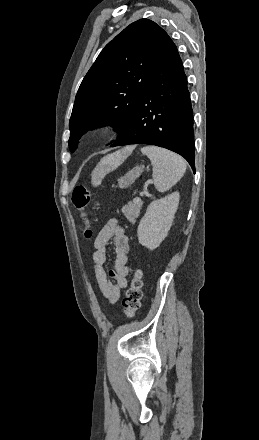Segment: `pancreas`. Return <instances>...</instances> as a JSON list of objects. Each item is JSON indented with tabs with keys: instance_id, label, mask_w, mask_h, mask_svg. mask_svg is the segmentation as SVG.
<instances>
[{
	"instance_id": "pancreas-1",
	"label": "pancreas",
	"mask_w": 259,
	"mask_h": 440,
	"mask_svg": "<svg viewBox=\"0 0 259 440\" xmlns=\"http://www.w3.org/2000/svg\"><path fill=\"white\" fill-rule=\"evenodd\" d=\"M143 202H129L127 205L122 207V212L129 221H133L138 217L140 210L142 208Z\"/></svg>"
}]
</instances>
